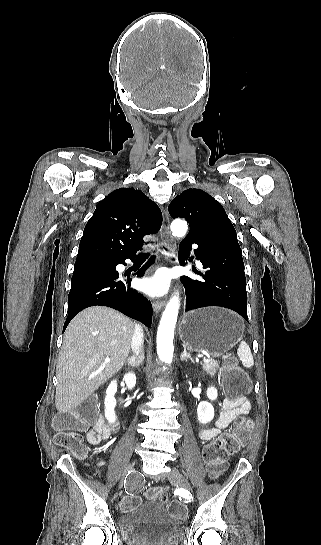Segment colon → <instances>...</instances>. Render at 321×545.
<instances>
[{
  "instance_id": "obj_1",
  "label": "colon",
  "mask_w": 321,
  "mask_h": 545,
  "mask_svg": "<svg viewBox=\"0 0 321 545\" xmlns=\"http://www.w3.org/2000/svg\"><path fill=\"white\" fill-rule=\"evenodd\" d=\"M222 385L229 398L244 396L250 390V380L245 372L240 370L233 360H227L223 366ZM95 400L86 399L79 407L60 413L55 417L54 424L58 432L54 436L56 445L67 448L77 458H84L87 452L82 431L91 425L94 417ZM253 422L248 417H240L231 431L205 446L203 458L211 477H218L226 468L229 455L236 454L248 442ZM146 496L163 503L168 502V492L163 487H152ZM141 503L139 496L128 494L120 503L122 511L131 510ZM168 509L178 518L185 517V508L179 502H168Z\"/></svg>"
}]
</instances>
